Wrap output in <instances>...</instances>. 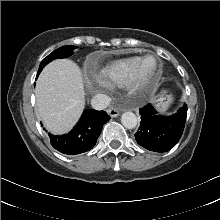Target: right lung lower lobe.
<instances>
[{"label":"right lung lower lobe","mask_w":220,"mask_h":220,"mask_svg":"<svg viewBox=\"0 0 220 220\" xmlns=\"http://www.w3.org/2000/svg\"><path fill=\"white\" fill-rule=\"evenodd\" d=\"M109 119L110 116L105 111L85 110L81 119L70 133L62 136L49 134L51 145L59 152L67 155H76L89 151L96 144L103 125Z\"/></svg>","instance_id":"right-lung-lower-lobe-1"}]
</instances>
